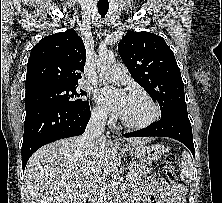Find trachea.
I'll return each instance as SVG.
<instances>
[{
	"label": "trachea",
	"mask_w": 222,
	"mask_h": 203,
	"mask_svg": "<svg viewBox=\"0 0 222 203\" xmlns=\"http://www.w3.org/2000/svg\"><path fill=\"white\" fill-rule=\"evenodd\" d=\"M97 8H98V12H99L100 16H101L102 18H104L105 15H106L107 12H108L109 4H106V5H97Z\"/></svg>",
	"instance_id": "trachea-1"
}]
</instances>
